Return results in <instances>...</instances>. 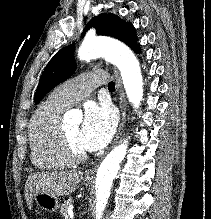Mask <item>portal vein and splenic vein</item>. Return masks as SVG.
Listing matches in <instances>:
<instances>
[{
	"label": "portal vein and splenic vein",
	"mask_w": 211,
	"mask_h": 219,
	"mask_svg": "<svg viewBox=\"0 0 211 219\" xmlns=\"http://www.w3.org/2000/svg\"><path fill=\"white\" fill-rule=\"evenodd\" d=\"M65 219H72V216H66Z\"/></svg>",
	"instance_id": "obj_1"
}]
</instances>
